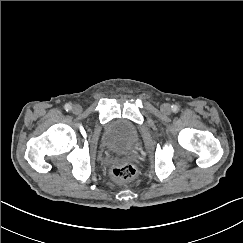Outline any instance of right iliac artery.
<instances>
[{"label":"right iliac artery","mask_w":243,"mask_h":243,"mask_svg":"<svg viewBox=\"0 0 243 243\" xmlns=\"http://www.w3.org/2000/svg\"><path fill=\"white\" fill-rule=\"evenodd\" d=\"M64 108L66 111H70L72 106H71V104L67 103V104H65Z\"/></svg>","instance_id":"right-iliac-artery-1"}]
</instances>
